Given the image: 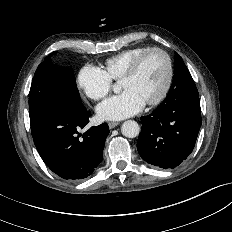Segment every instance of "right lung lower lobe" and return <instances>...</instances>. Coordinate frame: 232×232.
<instances>
[{
	"label": "right lung lower lobe",
	"mask_w": 232,
	"mask_h": 232,
	"mask_svg": "<svg viewBox=\"0 0 232 232\" xmlns=\"http://www.w3.org/2000/svg\"><path fill=\"white\" fill-rule=\"evenodd\" d=\"M53 103L43 122L32 132L34 144L44 163L58 176L85 179L102 161L109 127L107 123L92 126L81 135L79 129L89 123L88 110L65 97H58Z\"/></svg>",
	"instance_id": "obj_1"
}]
</instances>
